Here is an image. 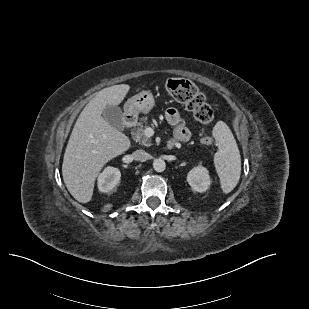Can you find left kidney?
<instances>
[{"instance_id":"obj_1","label":"left kidney","mask_w":309,"mask_h":309,"mask_svg":"<svg viewBox=\"0 0 309 309\" xmlns=\"http://www.w3.org/2000/svg\"><path fill=\"white\" fill-rule=\"evenodd\" d=\"M187 181L194 191L200 193L208 190L211 184L208 170L201 165L189 171Z\"/></svg>"}]
</instances>
